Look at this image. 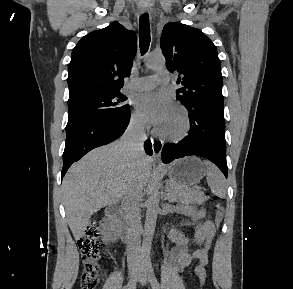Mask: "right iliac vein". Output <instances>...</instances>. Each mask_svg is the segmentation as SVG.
<instances>
[{
	"instance_id": "63e3f726",
	"label": "right iliac vein",
	"mask_w": 293,
	"mask_h": 289,
	"mask_svg": "<svg viewBox=\"0 0 293 289\" xmlns=\"http://www.w3.org/2000/svg\"><path fill=\"white\" fill-rule=\"evenodd\" d=\"M136 270L137 267L136 266H131L130 271H129V282H133L135 280L136 277ZM133 289V288H132Z\"/></svg>"
}]
</instances>
